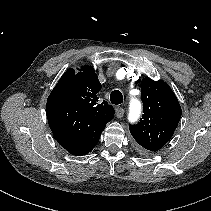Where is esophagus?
<instances>
[{
  "label": "esophagus",
  "instance_id": "1",
  "mask_svg": "<svg viewBox=\"0 0 211 211\" xmlns=\"http://www.w3.org/2000/svg\"><path fill=\"white\" fill-rule=\"evenodd\" d=\"M124 109L122 107H116L115 114L117 118H122L124 115Z\"/></svg>",
  "mask_w": 211,
  "mask_h": 211
}]
</instances>
